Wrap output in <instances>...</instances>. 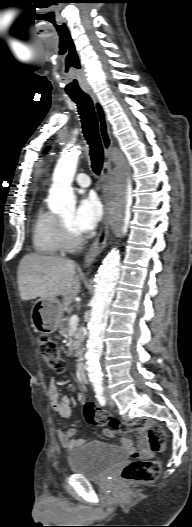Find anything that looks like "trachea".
<instances>
[{"label": "trachea", "instance_id": "1", "mask_svg": "<svg viewBox=\"0 0 192 527\" xmlns=\"http://www.w3.org/2000/svg\"><path fill=\"white\" fill-rule=\"evenodd\" d=\"M70 97L78 106L83 133L90 146L92 169L96 174H99L103 165L104 151L99 136L98 120L93 102L86 93L70 94Z\"/></svg>", "mask_w": 192, "mask_h": 527}]
</instances>
